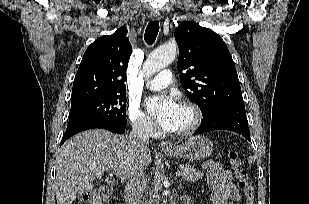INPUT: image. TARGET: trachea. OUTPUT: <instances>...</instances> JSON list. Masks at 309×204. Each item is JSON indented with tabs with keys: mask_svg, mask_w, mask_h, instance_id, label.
<instances>
[{
	"mask_svg": "<svg viewBox=\"0 0 309 204\" xmlns=\"http://www.w3.org/2000/svg\"><path fill=\"white\" fill-rule=\"evenodd\" d=\"M158 32H159L158 21L149 22L144 35L145 41L148 45H152L155 42Z\"/></svg>",
	"mask_w": 309,
	"mask_h": 204,
	"instance_id": "3493384b",
	"label": "trachea"
}]
</instances>
